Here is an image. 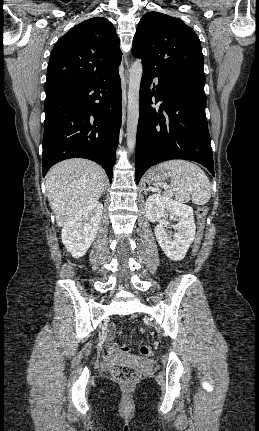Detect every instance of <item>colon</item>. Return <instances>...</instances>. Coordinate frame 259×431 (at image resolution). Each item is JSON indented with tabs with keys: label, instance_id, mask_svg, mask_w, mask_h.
Here are the masks:
<instances>
[{
	"label": "colon",
	"instance_id": "5ec220e1",
	"mask_svg": "<svg viewBox=\"0 0 259 431\" xmlns=\"http://www.w3.org/2000/svg\"><path fill=\"white\" fill-rule=\"evenodd\" d=\"M207 212H208V209L205 206L199 207L197 210V217H198L197 233H196V238L192 249V254L194 257L197 255L203 240ZM111 350L127 353L129 351V347L127 345L113 344L111 347ZM139 353L143 357L148 358L153 355V350L148 345H142L139 348ZM111 374L115 380L123 384L135 383L140 377V372L138 369L125 364L114 365L111 370Z\"/></svg>",
	"mask_w": 259,
	"mask_h": 431
}]
</instances>
